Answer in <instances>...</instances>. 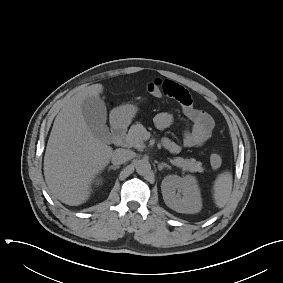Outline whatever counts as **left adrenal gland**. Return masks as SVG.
<instances>
[{
  "label": "left adrenal gland",
  "instance_id": "left-adrenal-gland-1",
  "mask_svg": "<svg viewBox=\"0 0 283 283\" xmlns=\"http://www.w3.org/2000/svg\"><path fill=\"white\" fill-rule=\"evenodd\" d=\"M157 167H158V170H159V171H161L164 167H166V168H168V169H171V167H170L168 164L163 163V162H162V163H159Z\"/></svg>",
  "mask_w": 283,
  "mask_h": 283
}]
</instances>
